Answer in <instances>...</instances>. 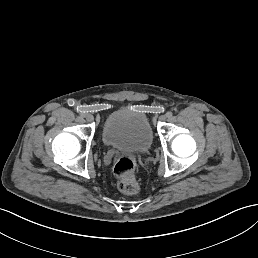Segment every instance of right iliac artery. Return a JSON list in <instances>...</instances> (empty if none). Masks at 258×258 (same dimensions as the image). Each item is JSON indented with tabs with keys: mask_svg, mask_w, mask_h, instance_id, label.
I'll return each mask as SVG.
<instances>
[{
	"mask_svg": "<svg viewBox=\"0 0 258 258\" xmlns=\"http://www.w3.org/2000/svg\"><path fill=\"white\" fill-rule=\"evenodd\" d=\"M80 116H81V117H85V114H84V113H81Z\"/></svg>",
	"mask_w": 258,
	"mask_h": 258,
	"instance_id": "1",
	"label": "right iliac artery"
}]
</instances>
